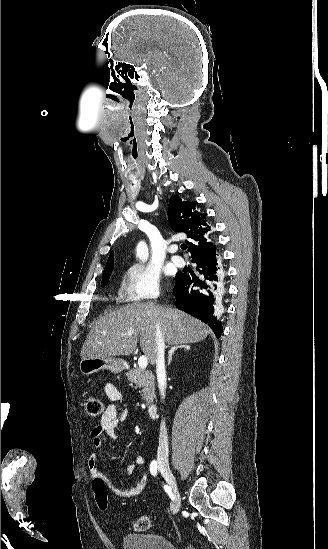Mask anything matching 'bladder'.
<instances>
[{
    "instance_id": "1",
    "label": "bladder",
    "mask_w": 328,
    "mask_h": 549,
    "mask_svg": "<svg viewBox=\"0 0 328 549\" xmlns=\"http://www.w3.org/2000/svg\"><path fill=\"white\" fill-rule=\"evenodd\" d=\"M123 549H175L174 544L161 535L140 533L123 536Z\"/></svg>"
}]
</instances>
